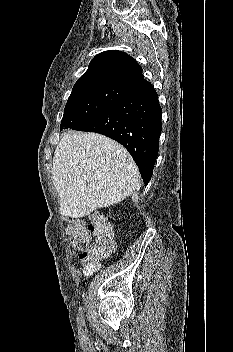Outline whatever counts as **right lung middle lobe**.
I'll return each instance as SVG.
<instances>
[{
  "label": "right lung middle lobe",
  "instance_id": "1",
  "mask_svg": "<svg viewBox=\"0 0 233 352\" xmlns=\"http://www.w3.org/2000/svg\"><path fill=\"white\" fill-rule=\"evenodd\" d=\"M137 91L121 85H98L72 90L60 130L73 129Z\"/></svg>",
  "mask_w": 233,
  "mask_h": 352
}]
</instances>
